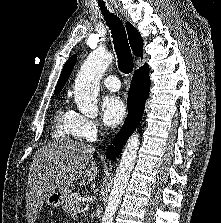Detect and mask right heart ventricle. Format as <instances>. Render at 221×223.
I'll return each mask as SVG.
<instances>
[{
  "label": "right heart ventricle",
  "instance_id": "obj_1",
  "mask_svg": "<svg viewBox=\"0 0 221 223\" xmlns=\"http://www.w3.org/2000/svg\"><path fill=\"white\" fill-rule=\"evenodd\" d=\"M76 118L72 111L60 108L53 119V137L61 140H76Z\"/></svg>",
  "mask_w": 221,
  "mask_h": 223
}]
</instances>
